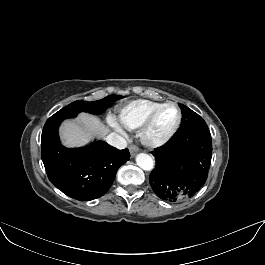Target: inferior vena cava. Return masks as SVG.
I'll return each instance as SVG.
<instances>
[{"instance_id": "obj_1", "label": "inferior vena cava", "mask_w": 265, "mask_h": 265, "mask_svg": "<svg viewBox=\"0 0 265 265\" xmlns=\"http://www.w3.org/2000/svg\"><path fill=\"white\" fill-rule=\"evenodd\" d=\"M105 141L109 145L116 147L118 149H124L127 147V141L125 140V138H123L122 136H120L119 134H116V133L109 134L105 138Z\"/></svg>"}]
</instances>
